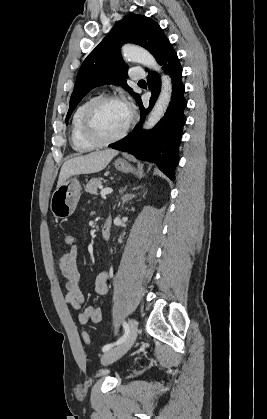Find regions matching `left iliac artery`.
Returning a JSON list of instances; mask_svg holds the SVG:
<instances>
[{"instance_id":"left-iliac-artery-1","label":"left iliac artery","mask_w":267,"mask_h":419,"mask_svg":"<svg viewBox=\"0 0 267 419\" xmlns=\"http://www.w3.org/2000/svg\"><path fill=\"white\" fill-rule=\"evenodd\" d=\"M123 327H124V335L119 340H117L115 343L106 344L102 348L103 352H106V351L110 350L112 347H114L116 345H120L121 343H123L126 340L128 334H129V326L126 322H123Z\"/></svg>"}]
</instances>
